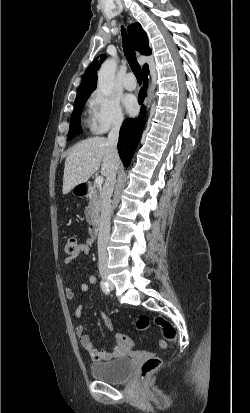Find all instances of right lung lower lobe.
<instances>
[{
    "label": "right lung lower lobe",
    "mask_w": 250,
    "mask_h": 413,
    "mask_svg": "<svg viewBox=\"0 0 250 413\" xmlns=\"http://www.w3.org/2000/svg\"><path fill=\"white\" fill-rule=\"evenodd\" d=\"M144 72V84L143 88L139 92L138 102L142 105L143 100L146 96V89H147V74L149 70H143ZM144 112L142 116L138 118H127L123 122V125L120 129V136L118 142V151L120 158L125 167H128L131 159L133 157V153L135 152L139 140L141 138V134L144 128L145 123V106L142 105L141 113Z\"/></svg>",
    "instance_id": "obj_1"
}]
</instances>
